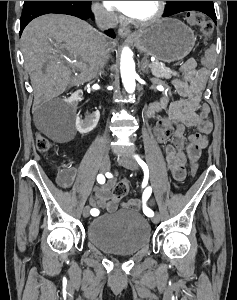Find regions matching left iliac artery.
<instances>
[{
	"mask_svg": "<svg viewBox=\"0 0 237 300\" xmlns=\"http://www.w3.org/2000/svg\"><path fill=\"white\" fill-rule=\"evenodd\" d=\"M134 158L136 159L138 164L142 167L143 171L149 173V169L146 163L138 155H135ZM151 193H152L151 187H147L143 192V211L145 215L148 217L154 216V212L145 205V202L150 197Z\"/></svg>",
	"mask_w": 237,
	"mask_h": 300,
	"instance_id": "1",
	"label": "left iliac artery"
}]
</instances>
